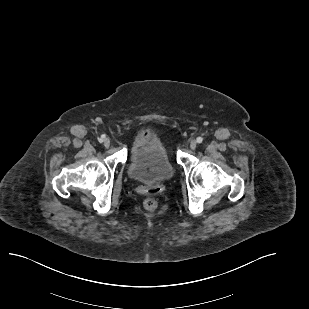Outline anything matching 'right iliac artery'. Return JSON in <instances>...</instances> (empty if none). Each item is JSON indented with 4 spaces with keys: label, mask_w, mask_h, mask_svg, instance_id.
Returning <instances> with one entry per match:
<instances>
[{
    "label": "right iliac artery",
    "mask_w": 309,
    "mask_h": 309,
    "mask_svg": "<svg viewBox=\"0 0 309 309\" xmlns=\"http://www.w3.org/2000/svg\"><path fill=\"white\" fill-rule=\"evenodd\" d=\"M104 138H105V136H104V135H102V136L98 139V141H99L100 143H102V142H103V140H104Z\"/></svg>",
    "instance_id": "obj_1"
}]
</instances>
